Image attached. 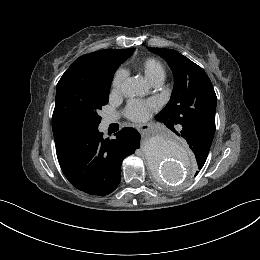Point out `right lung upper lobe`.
<instances>
[{
  "label": "right lung upper lobe",
  "instance_id": "cb5924a9",
  "mask_svg": "<svg viewBox=\"0 0 260 260\" xmlns=\"http://www.w3.org/2000/svg\"><path fill=\"white\" fill-rule=\"evenodd\" d=\"M128 49H121V50H116V49H105V50H100L96 51L87 55H83L76 59L68 68V70L64 73H71L74 71L81 70L85 67H88L93 64H97L105 59L111 58V57H116V56H121L125 52H127Z\"/></svg>",
  "mask_w": 260,
  "mask_h": 260
}]
</instances>
